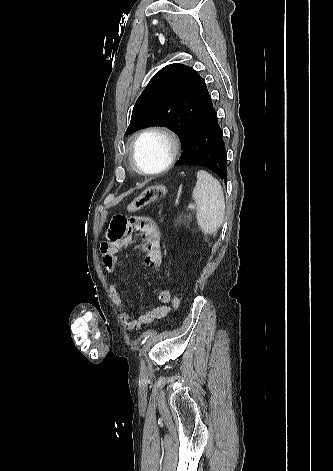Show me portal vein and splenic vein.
<instances>
[{"label":"portal vein and splenic vein","instance_id":"1","mask_svg":"<svg viewBox=\"0 0 333 471\" xmlns=\"http://www.w3.org/2000/svg\"><path fill=\"white\" fill-rule=\"evenodd\" d=\"M189 208L194 209L195 206L193 204H189Z\"/></svg>","mask_w":333,"mask_h":471}]
</instances>
